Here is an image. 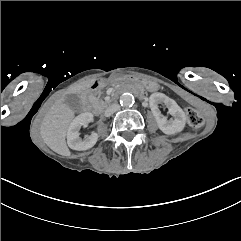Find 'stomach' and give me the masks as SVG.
Here are the masks:
<instances>
[{
  "label": "stomach",
  "mask_w": 241,
  "mask_h": 241,
  "mask_svg": "<svg viewBox=\"0 0 241 241\" xmlns=\"http://www.w3.org/2000/svg\"><path fill=\"white\" fill-rule=\"evenodd\" d=\"M114 82L117 83H126V84H136L139 83L143 87H145L148 91H156L159 89V84L155 81L138 78L130 75H123V74H114L112 76Z\"/></svg>",
  "instance_id": "0dacf381"
}]
</instances>
